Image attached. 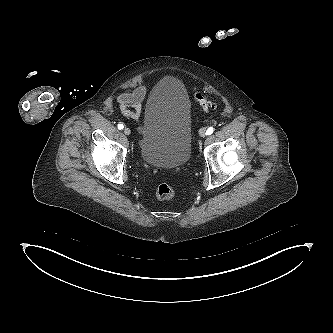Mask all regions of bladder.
<instances>
[{
  "instance_id": "bladder-1",
  "label": "bladder",
  "mask_w": 333,
  "mask_h": 333,
  "mask_svg": "<svg viewBox=\"0 0 333 333\" xmlns=\"http://www.w3.org/2000/svg\"><path fill=\"white\" fill-rule=\"evenodd\" d=\"M191 103L184 83L166 76L152 88L140 128V155L154 167L173 169L191 156Z\"/></svg>"
}]
</instances>
